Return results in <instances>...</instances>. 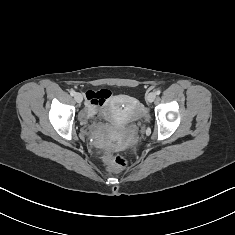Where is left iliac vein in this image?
<instances>
[{"label":"left iliac vein","instance_id":"obj_1","mask_svg":"<svg viewBox=\"0 0 235 235\" xmlns=\"http://www.w3.org/2000/svg\"><path fill=\"white\" fill-rule=\"evenodd\" d=\"M156 98V94L154 92H150L148 95H147V101L148 102H153Z\"/></svg>","mask_w":235,"mask_h":235}]
</instances>
